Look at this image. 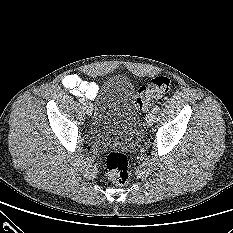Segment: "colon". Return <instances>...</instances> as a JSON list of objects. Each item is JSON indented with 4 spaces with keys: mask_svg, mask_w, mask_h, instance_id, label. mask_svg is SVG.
I'll list each match as a JSON object with an SVG mask.
<instances>
[{
    "mask_svg": "<svg viewBox=\"0 0 233 233\" xmlns=\"http://www.w3.org/2000/svg\"><path fill=\"white\" fill-rule=\"evenodd\" d=\"M171 87V81L166 76H156L147 86L139 88L135 104L139 111H145L153 100L166 94ZM105 170L108 180L114 185H125L130 179V162L122 151H109L105 157Z\"/></svg>",
    "mask_w": 233,
    "mask_h": 233,
    "instance_id": "1",
    "label": "colon"
}]
</instances>
